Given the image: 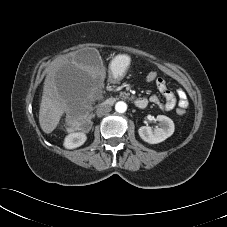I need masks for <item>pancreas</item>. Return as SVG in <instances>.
<instances>
[{"instance_id": "obj_1", "label": "pancreas", "mask_w": 227, "mask_h": 227, "mask_svg": "<svg viewBox=\"0 0 227 227\" xmlns=\"http://www.w3.org/2000/svg\"><path fill=\"white\" fill-rule=\"evenodd\" d=\"M125 95H126V93H123V94H122V96H125Z\"/></svg>"}]
</instances>
